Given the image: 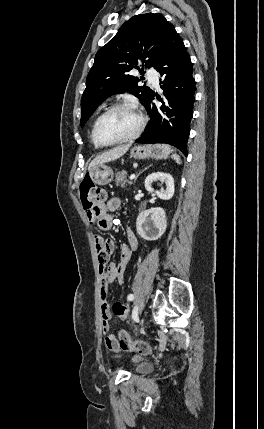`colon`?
I'll return each mask as SVG.
<instances>
[{"label": "colon", "mask_w": 264, "mask_h": 429, "mask_svg": "<svg viewBox=\"0 0 264 429\" xmlns=\"http://www.w3.org/2000/svg\"><path fill=\"white\" fill-rule=\"evenodd\" d=\"M80 198L85 211L93 214L98 209V206L103 204L106 198L105 192L100 187L96 186L90 179H85L80 185ZM112 311L122 321H129L128 307L121 303L115 302L112 306ZM119 341L122 349L125 350H142L146 343L140 339H131L124 333L119 334Z\"/></svg>", "instance_id": "colon-1"}]
</instances>
